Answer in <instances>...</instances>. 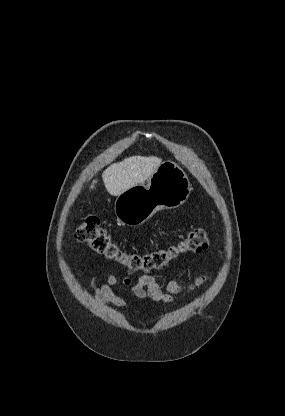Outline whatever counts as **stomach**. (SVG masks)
<instances>
[{
  "label": "stomach",
  "mask_w": 285,
  "mask_h": 416,
  "mask_svg": "<svg viewBox=\"0 0 285 416\" xmlns=\"http://www.w3.org/2000/svg\"><path fill=\"white\" fill-rule=\"evenodd\" d=\"M191 184L182 168L166 160L147 180L117 196L114 210L125 226H141L158 210H173L186 202Z\"/></svg>",
  "instance_id": "0dacf381"
}]
</instances>
